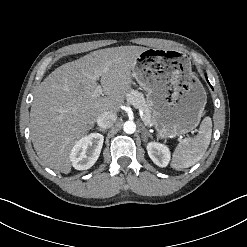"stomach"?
I'll use <instances>...</instances> for the list:
<instances>
[{
	"mask_svg": "<svg viewBox=\"0 0 247 247\" xmlns=\"http://www.w3.org/2000/svg\"><path fill=\"white\" fill-rule=\"evenodd\" d=\"M132 75L146 91L159 138L186 134L198 126L207 95L189 58L174 49H147L137 57Z\"/></svg>",
	"mask_w": 247,
	"mask_h": 247,
	"instance_id": "stomach-1",
	"label": "stomach"
}]
</instances>
